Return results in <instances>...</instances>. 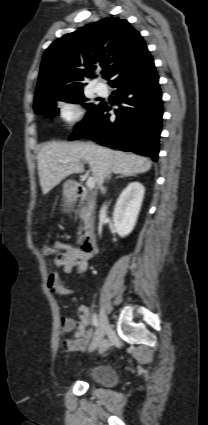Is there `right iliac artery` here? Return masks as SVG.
I'll return each mask as SVG.
<instances>
[{
  "instance_id": "obj_1",
  "label": "right iliac artery",
  "mask_w": 208,
  "mask_h": 425,
  "mask_svg": "<svg viewBox=\"0 0 208 425\" xmlns=\"http://www.w3.org/2000/svg\"><path fill=\"white\" fill-rule=\"evenodd\" d=\"M92 324H93L94 327L98 326V316H97L96 313H94L93 316H92Z\"/></svg>"
}]
</instances>
